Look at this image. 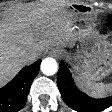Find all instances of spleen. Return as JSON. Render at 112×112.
<instances>
[{
	"instance_id": "spleen-1",
	"label": "spleen",
	"mask_w": 112,
	"mask_h": 112,
	"mask_svg": "<svg viewBox=\"0 0 112 112\" xmlns=\"http://www.w3.org/2000/svg\"><path fill=\"white\" fill-rule=\"evenodd\" d=\"M110 90H112V84H104V83H96L91 86V93L93 96H104L106 95Z\"/></svg>"
}]
</instances>
